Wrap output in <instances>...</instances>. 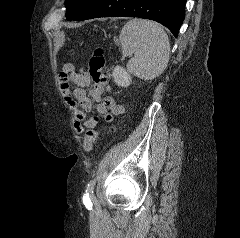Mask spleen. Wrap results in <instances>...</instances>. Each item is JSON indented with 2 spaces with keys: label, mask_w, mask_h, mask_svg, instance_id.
<instances>
[{
  "label": "spleen",
  "mask_w": 240,
  "mask_h": 238,
  "mask_svg": "<svg viewBox=\"0 0 240 238\" xmlns=\"http://www.w3.org/2000/svg\"><path fill=\"white\" fill-rule=\"evenodd\" d=\"M119 42L124 56L134 55L127 67L137 77L151 80L166 69L170 43L159 24L144 19H132L122 28Z\"/></svg>",
  "instance_id": "3e777b00"
}]
</instances>
